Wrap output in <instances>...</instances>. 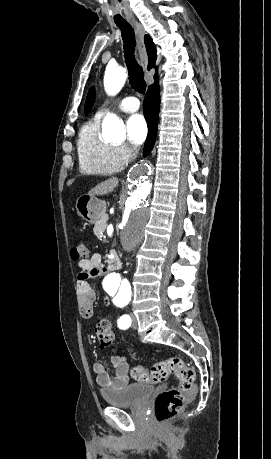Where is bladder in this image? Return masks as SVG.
I'll use <instances>...</instances> for the list:
<instances>
[{
    "instance_id": "31cf9c89",
    "label": "bladder",
    "mask_w": 271,
    "mask_h": 459,
    "mask_svg": "<svg viewBox=\"0 0 271 459\" xmlns=\"http://www.w3.org/2000/svg\"><path fill=\"white\" fill-rule=\"evenodd\" d=\"M155 387L150 383L129 384L123 390H102L104 402L110 405H139L149 398Z\"/></svg>"
}]
</instances>
